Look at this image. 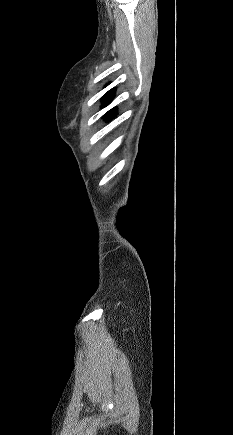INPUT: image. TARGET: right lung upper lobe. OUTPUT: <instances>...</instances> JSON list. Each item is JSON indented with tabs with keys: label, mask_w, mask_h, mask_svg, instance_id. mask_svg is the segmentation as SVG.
<instances>
[{
	"label": "right lung upper lobe",
	"mask_w": 233,
	"mask_h": 435,
	"mask_svg": "<svg viewBox=\"0 0 233 435\" xmlns=\"http://www.w3.org/2000/svg\"><path fill=\"white\" fill-rule=\"evenodd\" d=\"M114 91H115V89H111L103 96V107H105L106 105H108L112 101V99H113L112 94L114 93ZM115 111H116L115 108L111 109L110 111L107 112L106 116L114 115Z\"/></svg>",
	"instance_id": "right-lung-upper-lobe-1"
}]
</instances>
